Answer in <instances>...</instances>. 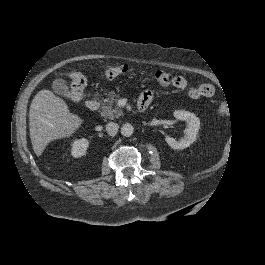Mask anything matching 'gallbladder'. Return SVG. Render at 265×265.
I'll return each mask as SVG.
<instances>
[{"mask_svg":"<svg viewBox=\"0 0 265 265\" xmlns=\"http://www.w3.org/2000/svg\"><path fill=\"white\" fill-rule=\"evenodd\" d=\"M51 88L55 94L70 100H75L73 92L70 91L69 84L63 77L54 78L51 83Z\"/></svg>","mask_w":265,"mask_h":265,"instance_id":"obj_1","label":"gallbladder"}]
</instances>
